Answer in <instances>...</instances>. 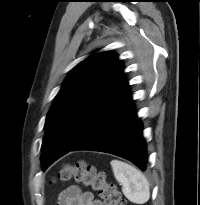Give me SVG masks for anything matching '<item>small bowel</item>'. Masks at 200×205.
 Wrapping results in <instances>:
<instances>
[{
    "label": "small bowel",
    "instance_id": "c3829d8e",
    "mask_svg": "<svg viewBox=\"0 0 200 205\" xmlns=\"http://www.w3.org/2000/svg\"><path fill=\"white\" fill-rule=\"evenodd\" d=\"M56 205H102L92 193L82 192L77 186L66 188L59 196Z\"/></svg>",
    "mask_w": 200,
    "mask_h": 205
}]
</instances>
